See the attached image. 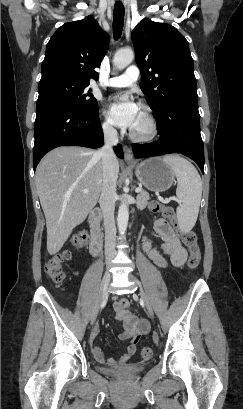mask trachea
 Returning a JSON list of instances; mask_svg holds the SVG:
<instances>
[{
	"mask_svg": "<svg viewBox=\"0 0 243 409\" xmlns=\"http://www.w3.org/2000/svg\"><path fill=\"white\" fill-rule=\"evenodd\" d=\"M124 6L120 1H117L114 5L113 12V35L114 39L117 40L121 37L124 24Z\"/></svg>",
	"mask_w": 243,
	"mask_h": 409,
	"instance_id": "3493384b",
	"label": "trachea"
}]
</instances>
